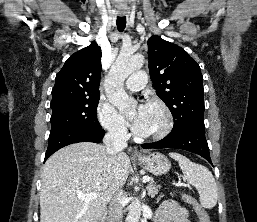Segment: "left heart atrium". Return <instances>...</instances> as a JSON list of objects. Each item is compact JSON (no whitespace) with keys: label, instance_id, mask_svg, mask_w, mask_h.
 Here are the masks:
<instances>
[{"label":"left heart atrium","instance_id":"1","mask_svg":"<svg viewBox=\"0 0 257 222\" xmlns=\"http://www.w3.org/2000/svg\"><path fill=\"white\" fill-rule=\"evenodd\" d=\"M148 105L141 103L138 105L135 115L131 121V129L136 134H145L148 121Z\"/></svg>","mask_w":257,"mask_h":222}]
</instances>
